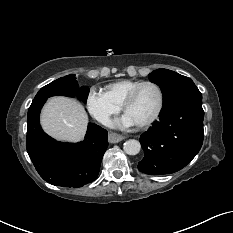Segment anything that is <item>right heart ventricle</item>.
<instances>
[{"mask_svg":"<svg viewBox=\"0 0 233 233\" xmlns=\"http://www.w3.org/2000/svg\"><path fill=\"white\" fill-rule=\"evenodd\" d=\"M142 81L140 80H118L116 82L110 83L106 86V94L110 97L112 101L116 104L122 106L123 101L127 95L139 85Z\"/></svg>","mask_w":233,"mask_h":233,"instance_id":"obj_1","label":"right heart ventricle"}]
</instances>
